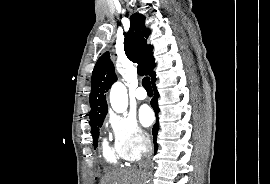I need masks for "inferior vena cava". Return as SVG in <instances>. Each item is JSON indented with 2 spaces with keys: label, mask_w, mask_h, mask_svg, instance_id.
Here are the masks:
<instances>
[{
  "label": "inferior vena cava",
  "mask_w": 270,
  "mask_h": 184,
  "mask_svg": "<svg viewBox=\"0 0 270 184\" xmlns=\"http://www.w3.org/2000/svg\"><path fill=\"white\" fill-rule=\"evenodd\" d=\"M143 147H144L143 159L140 161L139 167L146 169L149 168L151 156L153 153V147L150 139L143 140Z\"/></svg>",
  "instance_id": "inferior-vena-cava-1"
}]
</instances>
